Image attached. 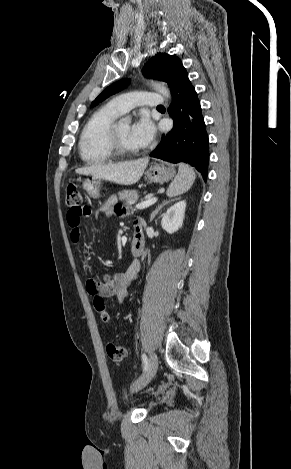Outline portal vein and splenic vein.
Masks as SVG:
<instances>
[{
  "instance_id": "1",
  "label": "portal vein and splenic vein",
  "mask_w": 291,
  "mask_h": 469,
  "mask_svg": "<svg viewBox=\"0 0 291 469\" xmlns=\"http://www.w3.org/2000/svg\"><path fill=\"white\" fill-rule=\"evenodd\" d=\"M157 200H158L157 197L150 198V199H148V200H145V201H143V202H141V203L136 204V208H137V209H145V208H147V207L153 205L154 203H156Z\"/></svg>"
}]
</instances>
